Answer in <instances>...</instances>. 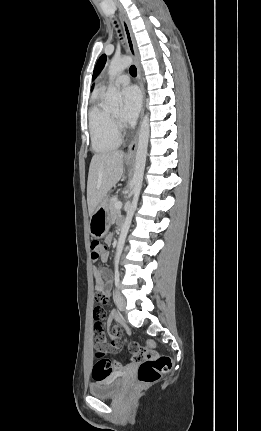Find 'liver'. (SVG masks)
<instances>
[{
  "instance_id": "6515ba94",
  "label": "liver",
  "mask_w": 261,
  "mask_h": 431,
  "mask_svg": "<svg viewBox=\"0 0 261 431\" xmlns=\"http://www.w3.org/2000/svg\"><path fill=\"white\" fill-rule=\"evenodd\" d=\"M123 151L95 154L90 163L87 181V203L90 217L123 175Z\"/></svg>"
}]
</instances>
